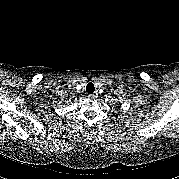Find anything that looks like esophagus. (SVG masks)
Returning <instances> with one entry per match:
<instances>
[{"instance_id": "esophagus-1", "label": "esophagus", "mask_w": 179, "mask_h": 179, "mask_svg": "<svg viewBox=\"0 0 179 179\" xmlns=\"http://www.w3.org/2000/svg\"><path fill=\"white\" fill-rule=\"evenodd\" d=\"M88 97H89V98H96V97H97V94H89Z\"/></svg>"}]
</instances>
